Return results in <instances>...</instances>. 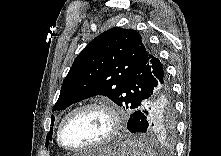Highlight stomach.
I'll list each match as a JSON object with an SVG mask.
<instances>
[{
  "instance_id": "stomach-1",
  "label": "stomach",
  "mask_w": 221,
  "mask_h": 156,
  "mask_svg": "<svg viewBox=\"0 0 221 156\" xmlns=\"http://www.w3.org/2000/svg\"><path fill=\"white\" fill-rule=\"evenodd\" d=\"M89 156H132V152L127 141L118 140L94 149Z\"/></svg>"
}]
</instances>
